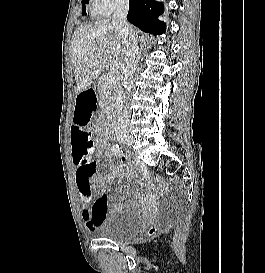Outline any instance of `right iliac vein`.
I'll use <instances>...</instances> for the list:
<instances>
[{
	"label": "right iliac vein",
	"instance_id": "63e3f726",
	"mask_svg": "<svg viewBox=\"0 0 265 273\" xmlns=\"http://www.w3.org/2000/svg\"><path fill=\"white\" fill-rule=\"evenodd\" d=\"M118 140L120 142H126L128 144H132L133 143V137L129 136V135H125V136H119Z\"/></svg>",
	"mask_w": 265,
	"mask_h": 273
}]
</instances>
